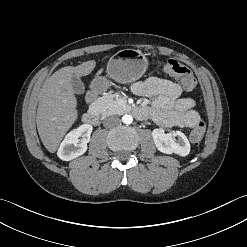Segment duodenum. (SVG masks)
I'll list each match as a JSON object with an SVG mask.
<instances>
[{
    "label": "duodenum",
    "mask_w": 247,
    "mask_h": 247,
    "mask_svg": "<svg viewBox=\"0 0 247 247\" xmlns=\"http://www.w3.org/2000/svg\"><path fill=\"white\" fill-rule=\"evenodd\" d=\"M99 93V88L94 87L88 94H87V102L92 103ZM134 113L137 117L142 118L144 112L141 108H137L134 110ZM82 120L85 124L96 126L99 123L98 113L94 109L88 110L82 117Z\"/></svg>",
    "instance_id": "1"
}]
</instances>
